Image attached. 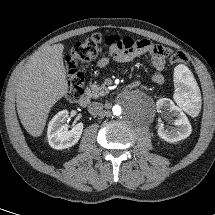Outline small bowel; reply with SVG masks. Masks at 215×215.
<instances>
[{
	"instance_id": "obj_1",
	"label": "small bowel",
	"mask_w": 215,
	"mask_h": 215,
	"mask_svg": "<svg viewBox=\"0 0 215 215\" xmlns=\"http://www.w3.org/2000/svg\"><path fill=\"white\" fill-rule=\"evenodd\" d=\"M105 46L108 52L107 55L97 60L96 66L98 68H105L111 61L127 63L142 55L149 54L155 68L152 81L156 84L164 83L163 70L166 56L163 52L165 48L162 46L156 45L148 39L134 40L131 37H120L118 35L106 37Z\"/></svg>"
}]
</instances>
